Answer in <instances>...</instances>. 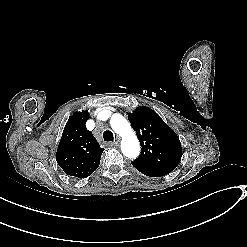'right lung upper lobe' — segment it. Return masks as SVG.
Returning a JSON list of instances; mask_svg holds the SVG:
<instances>
[{"instance_id": "right-lung-upper-lobe-1", "label": "right lung upper lobe", "mask_w": 247, "mask_h": 247, "mask_svg": "<svg viewBox=\"0 0 247 247\" xmlns=\"http://www.w3.org/2000/svg\"><path fill=\"white\" fill-rule=\"evenodd\" d=\"M88 118V111L75 112L69 118L56 153L63 171L78 178H86L98 168L104 151L85 127Z\"/></svg>"}]
</instances>
